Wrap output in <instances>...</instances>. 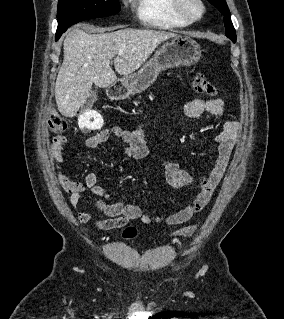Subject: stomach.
Returning <instances> with one entry per match:
<instances>
[{"instance_id": "obj_1", "label": "stomach", "mask_w": 284, "mask_h": 319, "mask_svg": "<svg viewBox=\"0 0 284 319\" xmlns=\"http://www.w3.org/2000/svg\"><path fill=\"white\" fill-rule=\"evenodd\" d=\"M201 57L200 45L190 37L176 36L164 43L137 73L124 76L120 83L127 94L146 90L162 70L190 66Z\"/></svg>"}]
</instances>
